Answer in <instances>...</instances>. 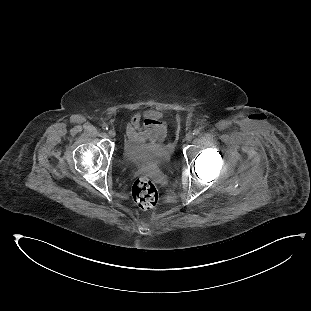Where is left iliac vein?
Returning <instances> with one entry per match:
<instances>
[{"label":"left iliac vein","mask_w":311,"mask_h":311,"mask_svg":"<svg viewBox=\"0 0 311 311\" xmlns=\"http://www.w3.org/2000/svg\"><path fill=\"white\" fill-rule=\"evenodd\" d=\"M193 137H194L193 134L189 132V133L186 134L185 138H186V141L189 142V141H191L193 139Z\"/></svg>","instance_id":"obj_1"}]
</instances>
